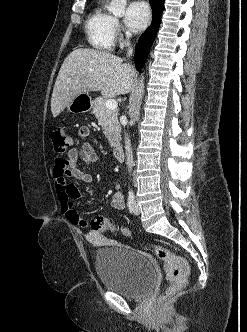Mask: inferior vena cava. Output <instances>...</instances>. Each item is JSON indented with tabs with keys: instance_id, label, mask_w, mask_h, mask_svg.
<instances>
[{
	"instance_id": "inferior-vena-cava-1",
	"label": "inferior vena cava",
	"mask_w": 247,
	"mask_h": 332,
	"mask_svg": "<svg viewBox=\"0 0 247 332\" xmlns=\"http://www.w3.org/2000/svg\"><path fill=\"white\" fill-rule=\"evenodd\" d=\"M129 46V44H128ZM133 53V49L130 47L128 50V56H131ZM125 151H126V157H127V166L128 168L131 169L133 166V154H132V149H131V144H130V139L128 136L125 134Z\"/></svg>"
}]
</instances>
